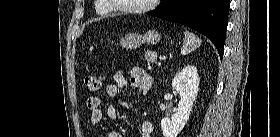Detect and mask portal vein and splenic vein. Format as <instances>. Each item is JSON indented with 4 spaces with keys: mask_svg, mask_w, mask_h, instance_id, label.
<instances>
[{
    "mask_svg": "<svg viewBox=\"0 0 280 137\" xmlns=\"http://www.w3.org/2000/svg\"><path fill=\"white\" fill-rule=\"evenodd\" d=\"M161 60H165L166 59V57H162V58H160Z\"/></svg>",
    "mask_w": 280,
    "mask_h": 137,
    "instance_id": "18ae733b",
    "label": "portal vein and splenic vein"
}]
</instances>
